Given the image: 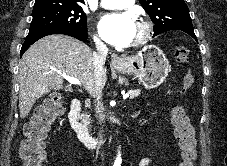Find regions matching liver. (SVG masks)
Here are the masks:
<instances>
[{"instance_id": "1", "label": "liver", "mask_w": 227, "mask_h": 166, "mask_svg": "<svg viewBox=\"0 0 227 166\" xmlns=\"http://www.w3.org/2000/svg\"><path fill=\"white\" fill-rule=\"evenodd\" d=\"M93 51L83 42L66 35L46 36L34 43L22 56L19 68V109L25 118L36 100L61 89L62 75L74 77L91 95L95 91ZM106 69L102 82H106Z\"/></svg>"}]
</instances>
